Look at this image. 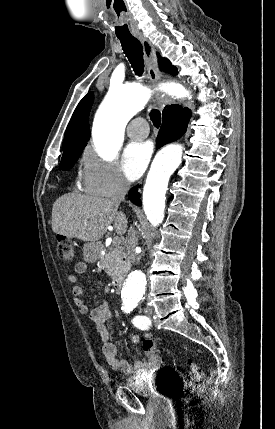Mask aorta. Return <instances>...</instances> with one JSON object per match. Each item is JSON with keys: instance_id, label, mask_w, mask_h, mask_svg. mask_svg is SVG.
<instances>
[{"instance_id": "1", "label": "aorta", "mask_w": 275, "mask_h": 429, "mask_svg": "<svg viewBox=\"0 0 275 429\" xmlns=\"http://www.w3.org/2000/svg\"><path fill=\"white\" fill-rule=\"evenodd\" d=\"M178 96H189L177 87ZM149 99V91L140 85L130 84L111 87L95 116L93 141L98 154L111 159L116 156L124 139L127 122L141 111ZM182 145L171 144L157 155L146 179L143 190V209L153 226L164 219L165 194L170 176L181 162ZM146 276L141 271L130 273L122 288L124 304H135L145 292Z\"/></svg>"}]
</instances>
